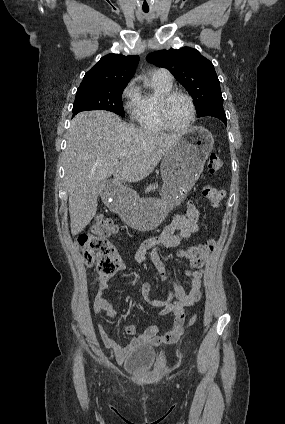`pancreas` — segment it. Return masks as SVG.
<instances>
[{"mask_svg":"<svg viewBox=\"0 0 285 424\" xmlns=\"http://www.w3.org/2000/svg\"><path fill=\"white\" fill-rule=\"evenodd\" d=\"M156 189H158V185L156 184H153V185H149L147 188H146V190H145V193H149L150 191H155Z\"/></svg>","mask_w":285,"mask_h":424,"instance_id":"cf45deb5","label":"pancreas"}]
</instances>
